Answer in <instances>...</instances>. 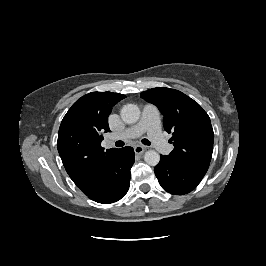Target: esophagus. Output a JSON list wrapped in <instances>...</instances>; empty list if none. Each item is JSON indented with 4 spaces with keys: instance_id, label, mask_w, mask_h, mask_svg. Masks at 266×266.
Returning a JSON list of instances; mask_svg holds the SVG:
<instances>
[{
    "instance_id": "1",
    "label": "esophagus",
    "mask_w": 266,
    "mask_h": 266,
    "mask_svg": "<svg viewBox=\"0 0 266 266\" xmlns=\"http://www.w3.org/2000/svg\"><path fill=\"white\" fill-rule=\"evenodd\" d=\"M145 150H146L145 147L142 146V145H136V146L134 147V152H135L136 154H142Z\"/></svg>"
}]
</instances>
